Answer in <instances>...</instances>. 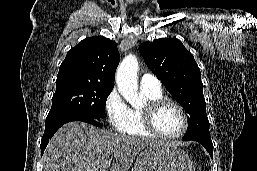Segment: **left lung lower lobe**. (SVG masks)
I'll return each instance as SVG.
<instances>
[{
  "mask_svg": "<svg viewBox=\"0 0 257 171\" xmlns=\"http://www.w3.org/2000/svg\"><path fill=\"white\" fill-rule=\"evenodd\" d=\"M190 140L197 141L200 144H202L205 147V149L209 152L210 156L213 157V143L211 139H190ZM190 140H183V141H190Z\"/></svg>",
  "mask_w": 257,
  "mask_h": 171,
  "instance_id": "left-lung-lower-lobe-1",
  "label": "left lung lower lobe"
}]
</instances>
